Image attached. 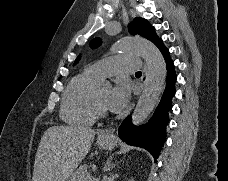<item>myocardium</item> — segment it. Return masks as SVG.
Wrapping results in <instances>:
<instances>
[{
    "instance_id": "obj_1",
    "label": "myocardium",
    "mask_w": 228,
    "mask_h": 181,
    "mask_svg": "<svg viewBox=\"0 0 228 181\" xmlns=\"http://www.w3.org/2000/svg\"><path fill=\"white\" fill-rule=\"evenodd\" d=\"M95 108H96V111L99 115H101V116H107L108 115L106 107L100 102L97 95H95Z\"/></svg>"
}]
</instances>
